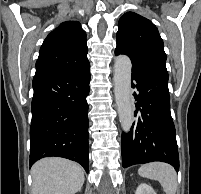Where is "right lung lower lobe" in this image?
<instances>
[{"label":"right lung lower lobe","instance_id":"obj_1","mask_svg":"<svg viewBox=\"0 0 201 194\" xmlns=\"http://www.w3.org/2000/svg\"><path fill=\"white\" fill-rule=\"evenodd\" d=\"M90 72L40 74L33 78L30 165L57 156L78 162L88 173Z\"/></svg>","mask_w":201,"mask_h":194}]
</instances>
